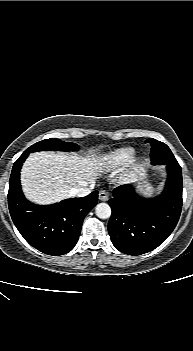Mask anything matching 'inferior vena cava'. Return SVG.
<instances>
[{
	"label": "inferior vena cava",
	"mask_w": 193,
	"mask_h": 351,
	"mask_svg": "<svg viewBox=\"0 0 193 351\" xmlns=\"http://www.w3.org/2000/svg\"><path fill=\"white\" fill-rule=\"evenodd\" d=\"M94 187V184L90 185V187H79L73 188L70 190V194L76 197H84L91 193V189Z\"/></svg>",
	"instance_id": "602c4592"
}]
</instances>
